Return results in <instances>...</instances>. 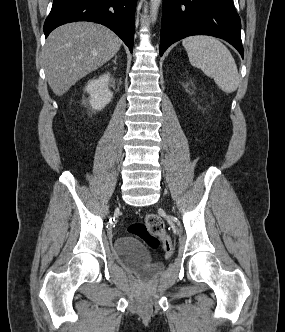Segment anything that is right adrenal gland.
<instances>
[{"instance_id":"1","label":"right adrenal gland","mask_w":285,"mask_h":332,"mask_svg":"<svg viewBox=\"0 0 285 332\" xmlns=\"http://www.w3.org/2000/svg\"><path fill=\"white\" fill-rule=\"evenodd\" d=\"M113 63L117 64V56L115 57L114 60H112Z\"/></svg>"}]
</instances>
